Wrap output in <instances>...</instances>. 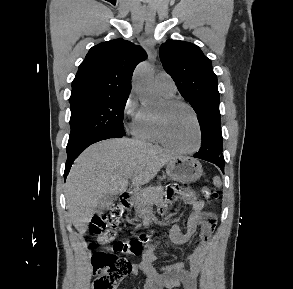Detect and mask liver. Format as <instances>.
<instances>
[{"label": "liver", "instance_id": "1", "mask_svg": "<svg viewBox=\"0 0 293 289\" xmlns=\"http://www.w3.org/2000/svg\"><path fill=\"white\" fill-rule=\"evenodd\" d=\"M177 158L168 150L129 138L88 147L76 159L66 182V203L74 227L84 234L101 197L126 192L129 178L135 187L149 183Z\"/></svg>", "mask_w": 293, "mask_h": 289}]
</instances>
